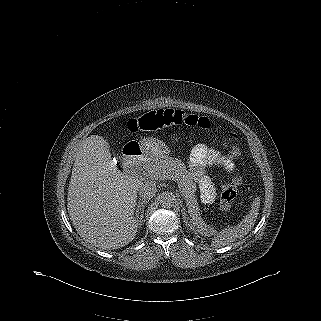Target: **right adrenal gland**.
I'll list each match as a JSON object with an SVG mask.
<instances>
[{"label":"right adrenal gland","mask_w":321,"mask_h":321,"mask_svg":"<svg viewBox=\"0 0 321 321\" xmlns=\"http://www.w3.org/2000/svg\"><path fill=\"white\" fill-rule=\"evenodd\" d=\"M147 200H139L138 204H136L135 214L138 226L143 225V218H144V209L145 205L147 204Z\"/></svg>","instance_id":"obj_1"}]
</instances>
